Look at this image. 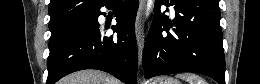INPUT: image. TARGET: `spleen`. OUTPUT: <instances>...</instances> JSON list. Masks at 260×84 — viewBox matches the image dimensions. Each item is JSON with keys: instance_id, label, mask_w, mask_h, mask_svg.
Here are the masks:
<instances>
[{"instance_id": "3e777b00", "label": "spleen", "mask_w": 260, "mask_h": 84, "mask_svg": "<svg viewBox=\"0 0 260 84\" xmlns=\"http://www.w3.org/2000/svg\"><path fill=\"white\" fill-rule=\"evenodd\" d=\"M178 78L186 80L189 84H207V82L194 73H182L177 75Z\"/></svg>"}]
</instances>
